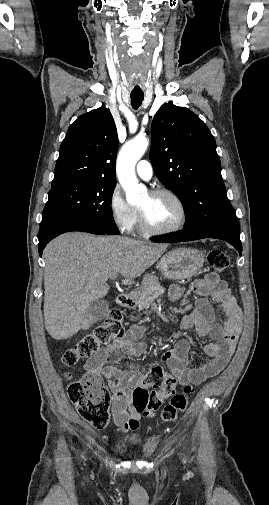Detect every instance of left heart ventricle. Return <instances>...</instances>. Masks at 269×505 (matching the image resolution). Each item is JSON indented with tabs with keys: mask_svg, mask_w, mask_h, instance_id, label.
I'll return each mask as SVG.
<instances>
[{
	"mask_svg": "<svg viewBox=\"0 0 269 505\" xmlns=\"http://www.w3.org/2000/svg\"><path fill=\"white\" fill-rule=\"evenodd\" d=\"M150 224L159 228L175 225L181 216L177 203L168 196L145 195L138 205Z\"/></svg>",
	"mask_w": 269,
	"mask_h": 505,
	"instance_id": "b2bd125f",
	"label": "left heart ventricle"
}]
</instances>
